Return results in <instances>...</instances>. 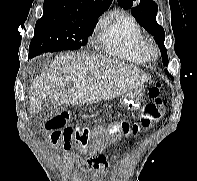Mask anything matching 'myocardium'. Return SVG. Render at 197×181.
<instances>
[{"label":"myocardium","instance_id":"obj_1","mask_svg":"<svg viewBox=\"0 0 197 181\" xmlns=\"http://www.w3.org/2000/svg\"><path fill=\"white\" fill-rule=\"evenodd\" d=\"M145 53L149 60L156 59L158 57V50L156 46L149 41L145 42Z\"/></svg>","mask_w":197,"mask_h":181}]
</instances>
